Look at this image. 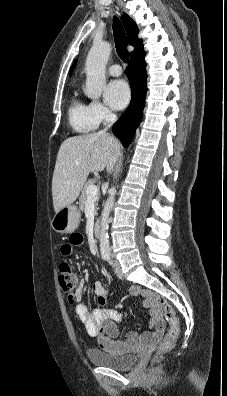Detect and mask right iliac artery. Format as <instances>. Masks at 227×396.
Here are the masks:
<instances>
[{"mask_svg":"<svg viewBox=\"0 0 227 396\" xmlns=\"http://www.w3.org/2000/svg\"><path fill=\"white\" fill-rule=\"evenodd\" d=\"M103 260H106L108 258V254L102 255Z\"/></svg>","mask_w":227,"mask_h":396,"instance_id":"right-iliac-artery-1","label":"right iliac artery"}]
</instances>
